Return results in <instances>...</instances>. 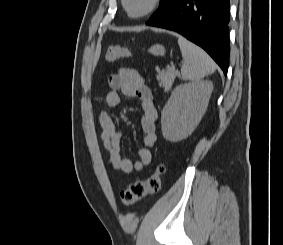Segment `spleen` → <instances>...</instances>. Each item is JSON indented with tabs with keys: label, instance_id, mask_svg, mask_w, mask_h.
Instances as JSON below:
<instances>
[{
	"label": "spleen",
	"instance_id": "3e777b00",
	"mask_svg": "<svg viewBox=\"0 0 283 245\" xmlns=\"http://www.w3.org/2000/svg\"><path fill=\"white\" fill-rule=\"evenodd\" d=\"M178 44L184 59L181 67L183 80L198 81L214 73L216 64L203 49L182 36L178 37Z\"/></svg>",
	"mask_w": 283,
	"mask_h": 245
}]
</instances>
